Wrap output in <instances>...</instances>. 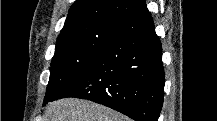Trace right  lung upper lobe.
<instances>
[{
	"mask_svg": "<svg viewBox=\"0 0 217 121\" xmlns=\"http://www.w3.org/2000/svg\"><path fill=\"white\" fill-rule=\"evenodd\" d=\"M146 9L144 0H76L60 34L95 20L110 19L127 23Z\"/></svg>",
	"mask_w": 217,
	"mask_h": 121,
	"instance_id": "1",
	"label": "right lung upper lobe"
}]
</instances>
